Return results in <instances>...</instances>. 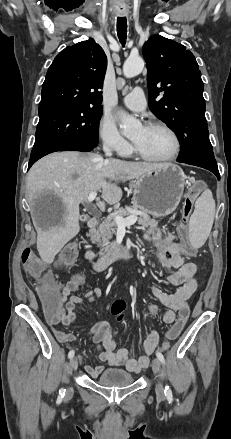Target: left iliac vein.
I'll return each instance as SVG.
<instances>
[{
	"label": "left iliac vein",
	"instance_id": "4c4485c4",
	"mask_svg": "<svg viewBox=\"0 0 231 439\" xmlns=\"http://www.w3.org/2000/svg\"><path fill=\"white\" fill-rule=\"evenodd\" d=\"M152 369L153 372L155 374V377L157 379V383H156V395L158 398L163 399L165 397V393H164V388L163 385L160 381V377H161V363L160 360L155 358L152 361Z\"/></svg>",
	"mask_w": 231,
	"mask_h": 439
}]
</instances>
